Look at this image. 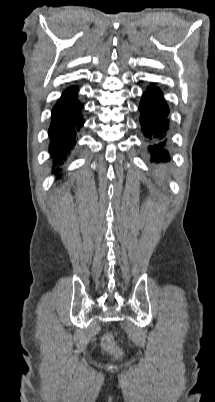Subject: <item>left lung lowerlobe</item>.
Masks as SVG:
<instances>
[{
  "label": "left lung lower lobe",
  "instance_id": "0a47b994",
  "mask_svg": "<svg viewBox=\"0 0 215 402\" xmlns=\"http://www.w3.org/2000/svg\"><path fill=\"white\" fill-rule=\"evenodd\" d=\"M140 124L145 141L148 144V151L151 160L162 159L165 161L169 155L168 129H169V108L163 98L161 90L156 86H150L143 93L139 105Z\"/></svg>",
  "mask_w": 215,
  "mask_h": 402
}]
</instances>
